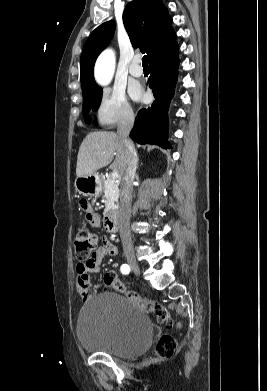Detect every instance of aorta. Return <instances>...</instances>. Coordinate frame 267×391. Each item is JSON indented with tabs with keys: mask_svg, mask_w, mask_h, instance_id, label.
<instances>
[{
	"mask_svg": "<svg viewBox=\"0 0 267 391\" xmlns=\"http://www.w3.org/2000/svg\"><path fill=\"white\" fill-rule=\"evenodd\" d=\"M114 67V51L112 49H106L100 54L95 65V78L100 85L106 86L110 83Z\"/></svg>",
	"mask_w": 267,
	"mask_h": 391,
	"instance_id": "1",
	"label": "aorta"
}]
</instances>
